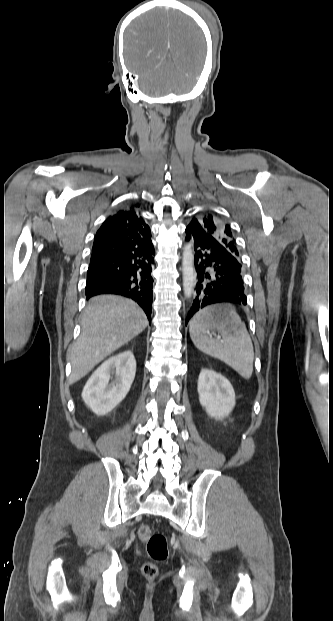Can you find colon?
Listing matches in <instances>:
<instances>
[{"instance_id": "colon-1", "label": "colon", "mask_w": 333, "mask_h": 621, "mask_svg": "<svg viewBox=\"0 0 333 621\" xmlns=\"http://www.w3.org/2000/svg\"><path fill=\"white\" fill-rule=\"evenodd\" d=\"M138 535L146 544L148 555L152 559V562L143 564L141 571L146 579L152 580L158 574L156 563H162L168 557L167 539L163 534L154 533L149 525L140 526Z\"/></svg>"}]
</instances>
